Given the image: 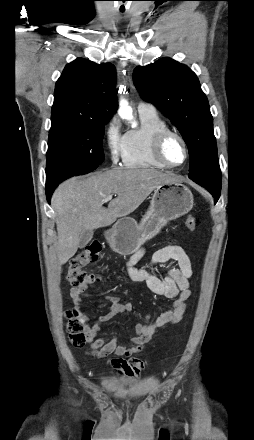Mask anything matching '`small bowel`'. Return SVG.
I'll return each instance as SVG.
<instances>
[{"instance_id": "1", "label": "small bowel", "mask_w": 254, "mask_h": 440, "mask_svg": "<svg viewBox=\"0 0 254 440\" xmlns=\"http://www.w3.org/2000/svg\"><path fill=\"white\" fill-rule=\"evenodd\" d=\"M145 254L144 249L134 253L126 264L128 277L132 281L144 282L148 289L157 296H164L174 299L172 306L152 322L137 323L135 327L136 335L132 339L133 346L118 345L115 337H99L104 327L103 325L115 316L123 313H131L133 305L130 302L122 301L116 296H106L108 311L98 317L92 325H86V336L88 342V353L104 358L110 355L117 357H129L143 350L144 346L152 339L158 330L170 324L179 322L186 309V301L191 296L189 289L190 279L193 271L189 257L179 245H167L154 252L149 266L138 267V262ZM173 262L177 268L171 269L166 273L159 274L155 270L158 264ZM70 297L74 308L80 316L86 320V316L81 311V306L85 298L89 297L87 286H74L70 289ZM149 315L146 316L148 321ZM112 365L120 373L137 377L143 369V363L139 359L129 361L123 359L112 360Z\"/></svg>"}]
</instances>
